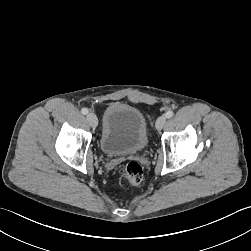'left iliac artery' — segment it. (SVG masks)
<instances>
[{"label": "left iliac artery", "instance_id": "obj_1", "mask_svg": "<svg viewBox=\"0 0 251 251\" xmlns=\"http://www.w3.org/2000/svg\"><path fill=\"white\" fill-rule=\"evenodd\" d=\"M173 115H174L173 111H168L165 114L166 118H171Z\"/></svg>", "mask_w": 251, "mask_h": 251}]
</instances>
